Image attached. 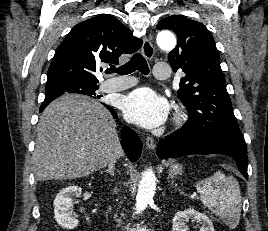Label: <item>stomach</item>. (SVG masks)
Masks as SVG:
<instances>
[{"label":"stomach","instance_id":"0dacf381","mask_svg":"<svg viewBox=\"0 0 268 231\" xmlns=\"http://www.w3.org/2000/svg\"><path fill=\"white\" fill-rule=\"evenodd\" d=\"M182 172V165L180 164H174L170 167L169 173L170 175H177Z\"/></svg>","mask_w":268,"mask_h":231}]
</instances>
